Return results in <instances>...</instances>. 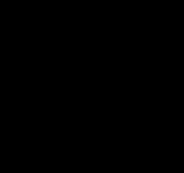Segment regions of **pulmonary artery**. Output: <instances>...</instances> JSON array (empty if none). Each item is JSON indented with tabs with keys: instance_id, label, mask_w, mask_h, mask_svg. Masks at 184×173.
I'll return each mask as SVG.
<instances>
[{
	"instance_id": "obj_1",
	"label": "pulmonary artery",
	"mask_w": 184,
	"mask_h": 173,
	"mask_svg": "<svg viewBox=\"0 0 184 173\" xmlns=\"http://www.w3.org/2000/svg\"><path fill=\"white\" fill-rule=\"evenodd\" d=\"M98 90V88L94 87L91 89V92H96ZM103 90V95L105 97V99L108 101L109 106L111 107L112 111L114 112L115 116L117 118H121V111L118 108V106L116 105V103L113 101V99L110 96V90L109 87L107 85V83H105V85L102 87Z\"/></svg>"
}]
</instances>
